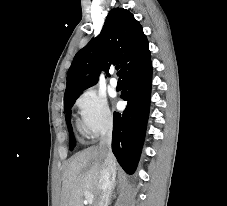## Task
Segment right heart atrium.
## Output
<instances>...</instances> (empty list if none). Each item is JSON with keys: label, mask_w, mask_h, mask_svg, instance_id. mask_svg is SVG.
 <instances>
[{"label": "right heart atrium", "mask_w": 227, "mask_h": 206, "mask_svg": "<svg viewBox=\"0 0 227 206\" xmlns=\"http://www.w3.org/2000/svg\"><path fill=\"white\" fill-rule=\"evenodd\" d=\"M81 124L90 137H97L111 129L113 115L106 97L89 88L81 93L76 101Z\"/></svg>", "instance_id": "right-heart-atrium-1"}]
</instances>
